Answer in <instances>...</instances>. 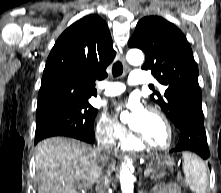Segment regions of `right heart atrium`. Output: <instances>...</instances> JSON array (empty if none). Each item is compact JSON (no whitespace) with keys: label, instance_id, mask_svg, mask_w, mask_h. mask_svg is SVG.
I'll list each match as a JSON object with an SVG mask.
<instances>
[{"label":"right heart atrium","instance_id":"d8ad5b80","mask_svg":"<svg viewBox=\"0 0 221 193\" xmlns=\"http://www.w3.org/2000/svg\"><path fill=\"white\" fill-rule=\"evenodd\" d=\"M96 132L100 140L116 144L126 137L125 128L106 113H102L96 124Z\"/></svg>","mask_w":221,"mask_h":193}]
</instances>
